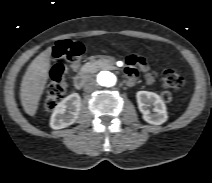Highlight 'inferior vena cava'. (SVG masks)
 Returning <instances> with one entry per match:
<instances>
[{
	"mask_svg": "<svg viewBox=\"0 0 212 183\" xmlns=\"http://www.w3.org/2000/svg\"><path fill=\"white\" fill-rule=\"evenodd\" d=\"M97 87H98V84L96 83V81L94 79H89L84 86V90L86 92H92L96 90Z\"/></svg>",
	"mask_w": 212,
	"mask_h": 183,
	"instance_id": "1",
	"label": "inferior vena cava"
}]
</instances>
